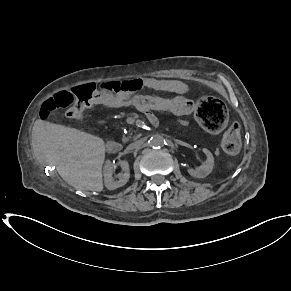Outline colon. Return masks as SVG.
I'll use <instances>...</instances> for the list:
<instances>
[{
    "label": "colon",
    "mask_w": 291,
    "mask_h": 291,
    "mask_svg": "<svg viewBox=\"0 0 291 291\" xmlns=\"http://www.w3.org/2000/svg\"><path fill=\"white\" fill-rule=\"evenodd\" d=\"M129 87L124 82H111L101 85L94 83L81 85L71 90L60 91L48 98L40 109V118L59 109H66L70 120L78 119L88 108L108 103L116 109L131 106V95L124 93ZM124 93V94H122ZM122 94V95H121ZM120 95V96H119ZM135 104L142 112H171L174 118H188L195 114L197 121L209 132H219L227 124L228 114L224 103L215 97L190 98L172 97L170 93H144L135 98ZM222 147L228 153H236L240 147V127L233 123L222 139Z\"/></svg>",
    "instance_id": "5ec220e1"
}]
</instances>
